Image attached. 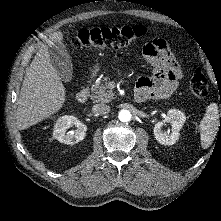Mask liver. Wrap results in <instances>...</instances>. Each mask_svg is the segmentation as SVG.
<instances>
[{"label":"liver","mask_w":221,"mask_h":221,"mask_svg":"<svg viewBox=\"0 0 221 221\" xmlns=\"http://www.w3.org/2000/svg\"><path fill=\"white\" fill-rule=\"evenodd\" d=\"M62 42L63 33L54 32L38 50L26 71L16 113L19 130L29 128L55 114L65 102V87L52 66L48 53L50 46Z\"/></svg>","instance_id":"obj_1"}]
</instances>
